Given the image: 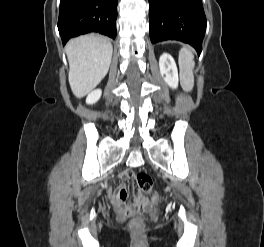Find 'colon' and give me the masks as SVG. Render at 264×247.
I'll list each match as a JSON object with an SVG mask.
<instances>
[{
	"label": "colon",
	"mask_w": 264,
	"mask_h": 247,
	"mask_svg": "<svg viewBox=\"0 0 264 247\" xmlns=\"http://www.w3.org/2000/svg\"><path fill=\"white\" fill-rule=\"evenodd\" d=\"M135 187L138 191L151 194L153 192V180L150 175L145 172H138L134 179ZM155 200H161L158 194H153ZM145 199H139L137 202H127L122 201L117 204L125 215L130 217V225L132 228H141L146 220V216L143 211V205L145 204Z\"/></svg>",
	"instance_id": "obj_1"
}]
</instances>
